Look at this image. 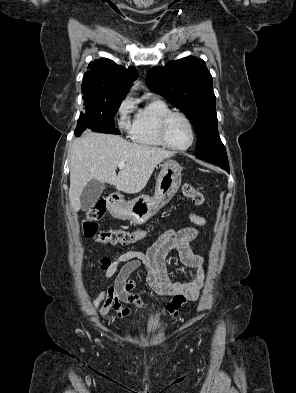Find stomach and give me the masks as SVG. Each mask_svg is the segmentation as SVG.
Wrapping results in <instances>:
<instances>
[{"mask_svg": "<svg viewBox=\"0 0 296 393\" xmlns=\"http://www.w3.org/2000/svg\"><path fill=\"white\" fill-rule=\"evenodd\" d=\"M182 167L174 160L162 164L158 175L155 193L152 197L142 195L129 202L118 201L113 215L122 220L143 224L165 206L178 191L182 180Z\"/></svg>", "mask_w": 296, "mask_h": 393, "instance_id": "0dacf381", "label": "stomach"}]
</instances>
